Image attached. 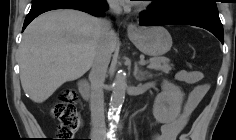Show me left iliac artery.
I'll list each match as a JSON object with an SVG mask.
<instances>
[{"mask_svg": "<svg viewBox=\"0 0 236 140\" xmlns=\"http://www.w3.org/2000/svg\"><path fill=\"white\" fill-rule=\"evenodd\" d=\"M110 140H117L115 136H110Z\"/></svg>", "mask_w": 236, "mask_h": 140, "instance_id": "1", "label": "left iliac artery"}]
</instances>
